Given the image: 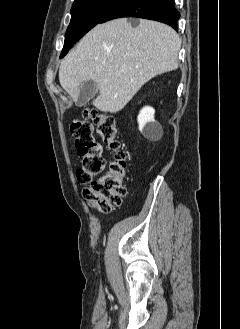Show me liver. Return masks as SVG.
Masks as SVG:
<instances>
[{
    "instance_id": "1",
    "label": "liver",
    "mask_w": 240,
    "mask_h": 329,
    "mask_svg": "<svg viewBox=\"0 0 240 329\" xmlns=\"http://www.w3.org/2000/svg\"><path fill=\"white\" fill-rule=\"evenodd\" d=\"M179 35L169 26L140 19L136 27L115 19L90 30L60 65L59 81L74 102L88 80L98 85L93 105L102 112L122 110L153 77L178 67Z\"/></svg>"
}]
</instances>
